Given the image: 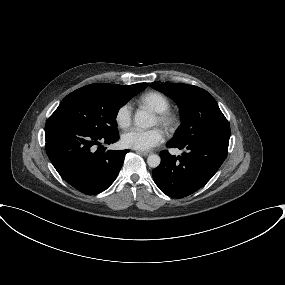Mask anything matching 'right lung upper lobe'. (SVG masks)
Segmentation results:
<instances>
[{
    "label": "right lung upper lobe",
    "instance_id": "cb5924a9",
    "mask_svg": "<svg viewBox=\"0 0 285 285\" xmlns=\"http://www.w3.org/2000/svg\"><path fill=\"white\" fill-rule=\"evenodd\" d=\"M99 85L107 86V87L118 89V90H130L138 84L129 85V86H122V85H116V84H99Z\"/></svg>",
    "mask_w": 285,
    "mask_h": 285
}]
</instances>
